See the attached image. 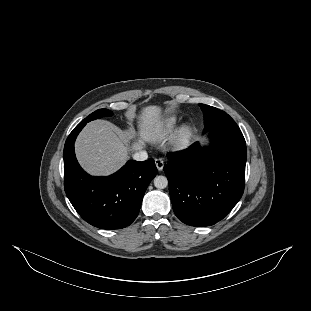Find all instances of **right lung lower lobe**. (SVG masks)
<instances>
[{
    "instance_id": "1",
    "label": "right lung lower lobe",
    "mask_w": 311,
    "mask_h": 311,
    "mask_svg": "<svg viewBox=\"0 0 311 311\" xmlns=\"http://www.w3.org/2000/svg\"><path fill=\"white\" fill-rule=\"evenodd\" d=\"M86 123H79L64 146V189L78 214L101 229H121L137 217L144 193L157 174L153 159L128 161L107 176H90L79 166L74 142Z\"/></svg>"
}]
</instances>
